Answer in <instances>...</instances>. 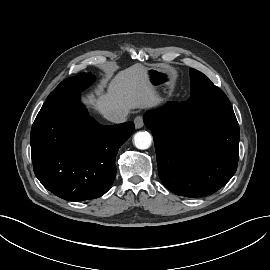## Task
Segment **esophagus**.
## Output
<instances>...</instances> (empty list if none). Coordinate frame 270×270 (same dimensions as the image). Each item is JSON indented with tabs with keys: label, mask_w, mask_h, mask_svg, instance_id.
Masks as SVG:
<instances>
[{
	"label": "esophagus",
	"mask_w": 270,
	"mask_h": 270,
	"mask_svg": "<svg viewBox=\"0 0 270 270\" xmlns=\"http://www.w3.org/2000/svg\"><path fill=\"white\" fill-rule=\"evenodd\" d=\"M134 125H135V128H136V129L142 128L143 125H144L143 117H142V116H137V117L134 119Z\"/></svg>",
	"instance_id": "obj_1"
}]
</instances>
